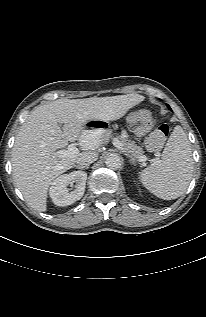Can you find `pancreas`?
I'll list each match as a JSON object with an SVG mask.
<instances>
[{
    "label": "pancreas",
    "instance_id": "1",
    "mask_svg": "<svg viewBox=\"0 0 206 317\" xmlns=\"http://www.w3.org/2000/svg\"><path fill=\"white\" fill-rule=\"evenodd\" d=\"M119 141L122 143L124 151L128 154H131L133 157H140L143 155L142 148L137 146L134 141L127 139V135L124 132L120 135Z\"/></svg>",
    "mask_w": 206,
    "mask_h": 317
}]
</instances>
